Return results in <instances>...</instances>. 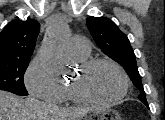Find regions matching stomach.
Returning <instances> with one entry per match:
<instances>
[{"label":"stomach","mask_w":165,"mask_h":120,"mask_svg":"<svg viewBox=\"0 0 165 120\" xmlns=\"http://www.w3.org/2000/svg\"><path fill=\"white\" fill-rule=\"evenodd\" d=\"M122 120L120 114L113 109H92L82 120Z\"/></svg>","instance_id":"1"}]
</instances>
